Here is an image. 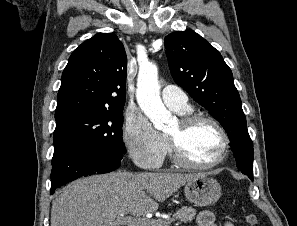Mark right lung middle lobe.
I'll list each match as a JSON object with an SVG mask.
<instances>
[{"mask_svg": "<svg viewBox=\"0 0 297 226\" xmlns=\"http://www.w3.org/2000/svg\"><path fill=\"white\" fill-rule=\"evenodd\" d=\"M122 126V111L75 113L56 120L53 143H89L125 154Z\"/></svg>", "mask_w": 297, "mask_h": 226, "instance_id": "dd1d6c3e", "label": "right lung middle lobe"}]
</instances>
